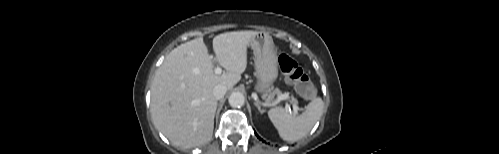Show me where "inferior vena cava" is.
Here are the masks:
<instances>
[{"instance_id": "obj_1", "label": "inferior vena cava", "mask_w": 499, "mask_h": 154, "mask_svg": "<svg viewBox=\"0 0 499 154\" xmlns=\"http://www.w3.org/2000/svg\"><path fill=\"white\" fill-rule=\"evenodd\" d=\"M227 92V87L223 84H218L213 88V96L215 99H222Z\"/></svg>"}]
</instances>
